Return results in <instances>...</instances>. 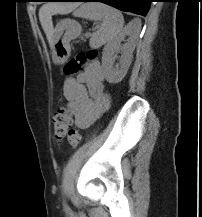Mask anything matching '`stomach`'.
I'll use <instances>...</instances> for the list:
<instances>
[{
    "label": "stomach",
    "mask_w": 202,
    "mask_h": 217,
    "mask_svg": "<svg viewBox=\"0 0 202 217\" xmlns=\"http://www.w3.org/2000/svg\"><path fill=\"white\" fill-rule=\"evenodd\" d=\"M81 33V26L74 20L64 19L60 21L54 30L52 44V58L55 63L62 64L70 56V41Z\"/></svg>",
    "instance_id": "0dacf381"
}]
</instances>
